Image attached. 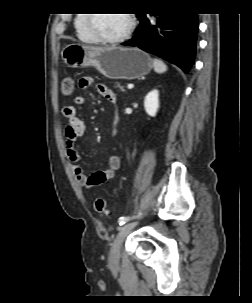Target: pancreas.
<instances>
[{
  "label": "pancreas",
  "instance_id": "pancreas-1",
  "mask_svg": "<svg viewBox=\"0 0 252 303\" xmlns=\"http://www.w3.org/2000/svg\"><path fill=\"white\" fill-rule=\"evenodd\" d=\"M116 87H118L121 91H124V87L123 86H121V84L120 83H116Z\"/></svg>",
  "mask_w": 252,
  "mask_h": 303
}]
</instances>
